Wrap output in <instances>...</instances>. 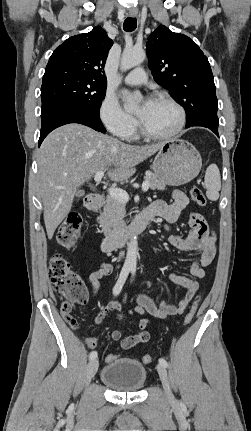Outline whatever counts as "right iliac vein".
Here are the masks:
<instances>
[{
  "mask_svg": "<svg viewBox=\"0 0 251 431\" xmlns=\"http://www.w3.org/2000/svg\"><path fill=\"white\" fill-rule=\"evenodd\" d=\"M98 360L97 359H92L88 366H87V371H86V381L87 383H89L91 381V379L95 376L97 370H98Z\"/></svg>",
  "mask_w": 251,
  "mask_h": 431,
  "instance_id": "right-iliac-vein-1",
  "label": "right iliac vein"
}]
</instances>
